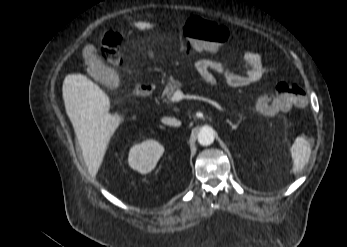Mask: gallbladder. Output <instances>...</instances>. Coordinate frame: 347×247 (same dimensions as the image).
Wrapping results in <instances>:
<instances>
[{"instance_id":"obj_1","label":"gallbladder","mask_w":347,"mask_h":247,"mask_svg":"<svg viewBox=\"0 0 347 247\" xmlns=\"http://www.w3.org/2000/svg\"><path fill=\"white\" fill-rule=\"evenodd\" d=\"M83 59L88 66L87 72L96 81L110 89H117L120 86V77L114 68L102 64L94 55V47H87L83 51Z\"/></svg>"}]
</instances>
